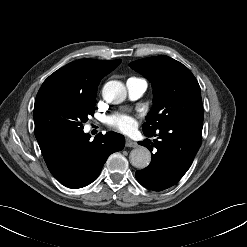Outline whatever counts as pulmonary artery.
I'll list each match as a JSON object with an SVG mask.
<instances>
[{"label": "pulmonary artery", "instance_id": "obj_1", "mask_svg": "<svg viewBox=\"0 0 247 247\" xmlns=\"http://www.w3.org/2000/svg\"><path fill=\"white\" fill-rule=\"evenodd\" d=\"M128 96L131 100L139 99L147 89V82L141 78H129L126 82Z\"/></svg>", "mask_w": 247, "mask_h": 247}]
</instances>
